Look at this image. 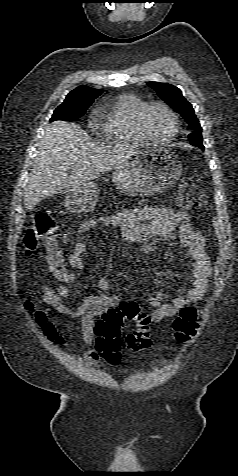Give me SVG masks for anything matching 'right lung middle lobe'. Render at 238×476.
I'll use <instances>...</instances> for the list:
<instances>
[{
	"label": "right lung middle lobe",
	"instance_id": "right-lung-middle-lobe-1",
	"mask_svg": "<svg viewBox=\"0 0 238 476\" xmlns=\"http://www.w3.org/2000/svg\"><path fill=\"white\" fill-rule=\"evenodd\" d=\"M90 105H85V104H77V103H72V102H63L61 105H59L53 115L50 121L54 120H66V121H72L76 120L82 115L85 114L86 110L88 109Z\"/></svg>",
	"mask_w": 238,
	"mask_h": 476
}]
</instances>
